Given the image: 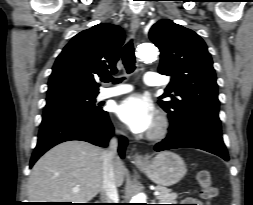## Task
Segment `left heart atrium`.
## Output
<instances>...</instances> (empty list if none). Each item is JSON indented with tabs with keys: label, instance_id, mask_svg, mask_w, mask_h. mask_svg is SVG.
<instances>
[{
	"label": "left heart atrium",
	"instance_id": "39dd6f15",
	"mask_svg": "<svg viewBox=\"0 0 253 205\" xmlns=\"http://www.w3.org/2000/svg\"><path fill=\"white\" fill-rule=\"evenodd\" d=\"M118 118L133 133H145L156 124V110L153 104L140 95H132L122 100L116 107Z\"/></svg>",
	"mask_w": 253,
	"mask_h": 205
}]
</instances>
